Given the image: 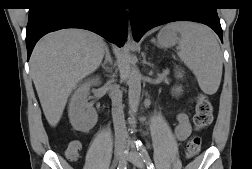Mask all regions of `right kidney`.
I'll list each match as a JSON object with an SVG mask.
<instances>
[{"label": "right kidney", "mask_w": 252, "mask_h": 169, "mask_svg": "<svg viewBox=\"0 0 252 169\" xmlns=\"http://www.w3.org/2000/svg\"><path fill=\"white\" fill-rule=\"evenodd\" d=\"M99 78L88 79L80 84L70 98L68 116L73 128L77 131L88 132L98 119L94 108L88 106V94L92 85H97Z\"/></svg>", "instance_id": "ca27d5eb"}]
</instances>
